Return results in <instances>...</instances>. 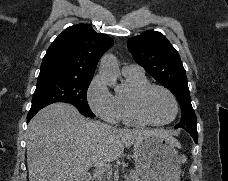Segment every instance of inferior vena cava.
<instances>
[{
	"instance_id": "inferior-vena-cava-1",
	"label": "inferior vena cava",
	"mask_w": 228,
	"mask_h": 181,
	"mask_svg": "<svg viewBox=\"0 0 228 181\" xmlns=\"http://www.w3.org/2000/svg\"><path fill=\"white\" fill-rule=\"evenodd\" d=\"M104 165H99V167H96V171H94L95 177H98V181H103L104 177V169H102Z\"/></svg>"
}]
</instances>
